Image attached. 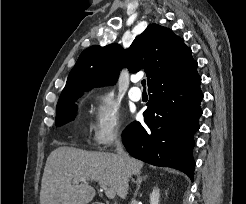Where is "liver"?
<instances>
[{
	"instance_id": "1",
	"label": "liver",
	"mask_w": 246,
	"mask_h": 204,
	"mask_svg": "<svg viewBox=\"0 0 246 204\" xmlns=\"http://www.w3.org/2000/svg\"><path fill=\"white\" fill-rule=\"evenodd\" d=\"M143 162L117 154L58 147L46 160L41 183L40 204H88L95 196L90 182L103 183L125 199L129 178L137 175Z\"/></svg>"
}]
</instances>
